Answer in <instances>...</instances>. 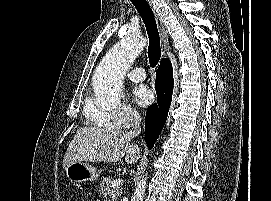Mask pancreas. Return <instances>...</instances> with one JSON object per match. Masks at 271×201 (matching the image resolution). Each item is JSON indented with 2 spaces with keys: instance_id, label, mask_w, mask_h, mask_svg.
<instances>
[{
  "instance_id": "obj_1",
  "label": "pancreas",
  "mask_w": 271,
  "mask_h": 201,
  "mask_svg": "<svg viewBox=\"0 0 271 201\" xmlns=\"http://www.w3.org/2000/svg\"><path fill=\"white\" fill-rule=\"evenodd\" d=\"M114 180L110 177L104 179L100 184L99 193L106 198V201H117L118 197L121 194L120 187L113 188L112 182Z\"/></svg>"
}]
</instances>
